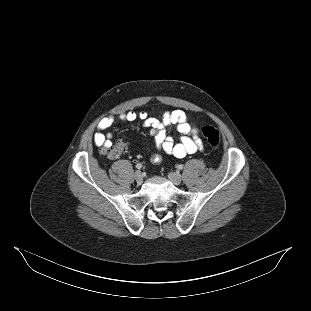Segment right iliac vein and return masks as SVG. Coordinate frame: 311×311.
<instances>
[{"label":"right iliac vein","mask_w":311,"mask_h":311,"mask_svg":"<svg viewBox=\"0 0 311 311\" xmlns=\"http://www.w3.org/2000/svg\"><path fill=\"white\" fill-rule=\"evenodd\" d=\"M134 178L136 180L137 183H141L143 181V174L141 173V171H136L134 174Z\"/></svg>","instance_id":"right-iliac-vein-1"}]
</instances>
